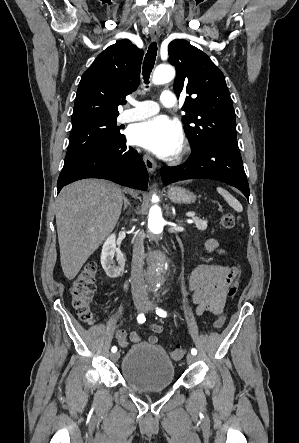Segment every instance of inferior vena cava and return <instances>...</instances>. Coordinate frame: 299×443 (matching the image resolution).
<instances>
[{"instance_id": "1", "label": "inferior vena cava", "mask_w": 299, "mask_h": 443, "mask_svg": "<svg viewBox=\"0 0 299 443\" xmlns=\"http://www.w3.org/2000/svg\"><path fill=\"white\" fill-rule=\"evenodd\" d=\"M144 245L141 232L136 233L133 242V257L131 267V287L133 297L146 295V284L143 275Z\"/></svg>"}]
</instances>
